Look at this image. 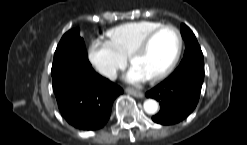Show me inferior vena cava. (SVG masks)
<instances>
[{
	"mask_svg": "<svg viewBox=\"0 0 247 145\" xmlns=\"http://www.w3.org/2000/svg\"><path fill=\"white\" fill-rule=\"evenodd\" d=\"M100 73L106 77L113 78L116 76V68L112 66H103L99 69Z\"/></svg>",
	"mask_w": 247,
	"mask_h": 145,
	"instance_id": "602c4592",
	"label": "inferior vena cava"
}]
</instances>
